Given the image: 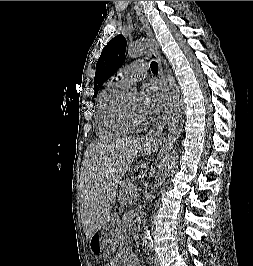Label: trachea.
I'll use <instances>...</instances> for the list:
<instances>
[{"mask_svg":"<svg viewBox=\"0 0 253 266\" xmlns=\"http://www.w3.org/2000/svg\"><path fill=\"white\" fill-rule=\"evenodd\" d=\"M150 67H151V70H152L153 73H157L158 66H157V63L155 61L151 62Z\"/></svg>","mask_w":253,"mask_h":266,"instance_id":"trachea-1","label":"trachea"}]
</instances>
